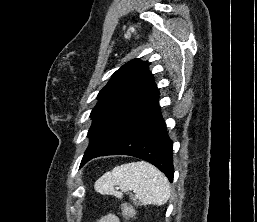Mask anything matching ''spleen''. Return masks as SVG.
I'll use <instances>...</instances> for the list:
<instances>
[{
	"label": "spleen",
	"instance_id": "3e777b00",
	"mask_svg": "<svg viewBox=\"0 0 257 222\" xmlns=\"http://www.w3.org/2000/svg\"><path fill=\"white\" fill-rule=\"evenodd\" d=\"M120 188L121 191L116 189ZM102 195L122 198L123 192L133 191L130 195L135 205H163L170 197L167 178L150 163L144 161L126 163L102 175L94 185Z\"/></svg>",
	"mask_w": 257,
	"mask_h": 222
}]
</instances>
